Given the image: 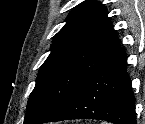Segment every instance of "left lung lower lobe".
Here are the masks:
<instances>
[{
  "mask_svg": "<svg viewBox=\"0 0 145 124\" xmlns=\"http://www.w3.org/2000/svg\"><path fill=\"white\" fill-rule=\"evenodd\" d=\"M126 69V53L121 48L43 123L98 119L136 124L135 98Z\"/></svg>",
  "mask_w": 145,
  "mask_h": 124,
  "instance_id": "left-lung-lower-lobe-1",
  "label": "left lung lower lobe"
}]
</instances>
